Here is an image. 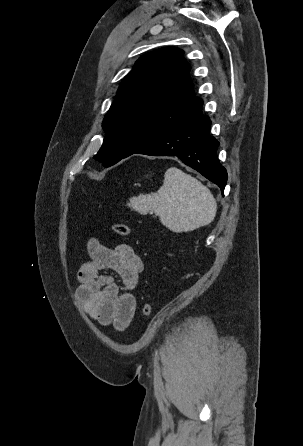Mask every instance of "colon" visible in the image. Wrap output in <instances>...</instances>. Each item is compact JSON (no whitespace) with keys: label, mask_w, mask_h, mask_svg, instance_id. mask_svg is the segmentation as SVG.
<instances>
[{"label":"colon","mask_w":303,"mask_h":446,"mask_svg":"<svg viewBox=\"0 0 303 446\" xmlns=\"http://www.w3.org/2000/svg\"><path fill=\"white\" fill-rule=\"evenodd\" d=\"M112 230L119 236L126 237L130 234L131 229L127 224L124 223H114L112 225ZM152 312V304L145 303L142 307V314L144 316L150 315Z\"/></svg>","instance_id":"obj_1"}]
</instances>
